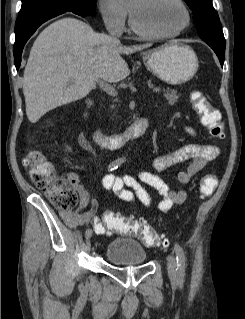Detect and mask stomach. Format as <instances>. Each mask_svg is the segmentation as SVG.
Masks as SVG:
<instances>
[{
    "label": "stomach",
    "mask_w": 245,
    "mask_h": 319,
    "mask_svg": "<svg viewBox=\"0 0 245 319\" xmlns=\"http://www.w3.org/2000/svg\"><path fill=\"white\" fill-rule=\"evenodd\" d=\"M143 61L154 75L174 85L189 81L198 70L196 53L180 42L144 52Z\"/></svg>",
    "instance_id": "0dacf381"
}]
</instances>
